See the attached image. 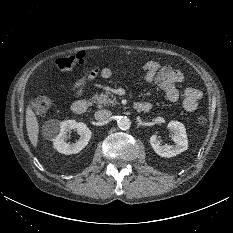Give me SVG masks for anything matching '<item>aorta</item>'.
Returning a JSON list of instances; mask_svg holds the SVG:
<instances>
[{"label":"aorta","instance_id":"aorta-1","mask_svg":"<svg viewBox=\"0 0 233 233\" xmlns=\"http://www.w3.org/2000/svg\"><path fill=\"white\" fill-rule=\"evenodd\" d=\"M117 125L121 130H127L131 126V121L126 116H120L117 120Z\"/></svg>","mask_w":233,"mask_h":233}]
</instances>
